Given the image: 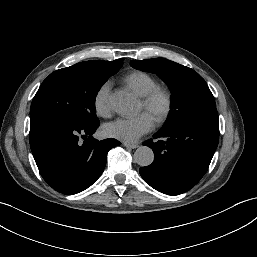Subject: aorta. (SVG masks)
I'll list each match as a JSON object with an SVG mask.
<instances>
[{"label": "aorta", "mask_w": 257, "mask_h": 257, "mask_svg": "<svg viewBox=\"0 0 257 257\" xmlns=\"http://www.w3.org/2000/svg\"><path fill=\"white\" fill-rule=\"evenodd\" d=\"M109 104L115 112L122 115H132L137 111L135 97L125 89L113 92L109 97ZM134 160L142 167L149 166L154 160V153L151 148L140 146L134 153Z\"/></svg>", "instance_id": "obj_1"}]
</instances>
